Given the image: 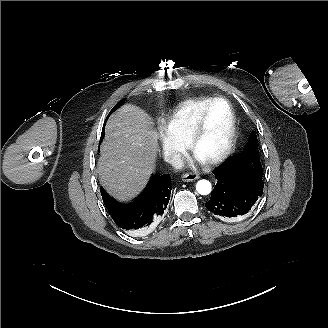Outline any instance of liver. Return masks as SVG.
Masks as SVG:
<instances>
[{"instance_id": "liver-1", "label": "liver", "mask_w": 328, "mask_h": 328, "mask_svg": "<svg viewBox=\"0 0 328 328\" xmlns=\"http://www.w3.org/2000/svg\"><path fill=\"white\" fill-rule=\"evenodd\" d=\"M149 115L126 105L110 118L98 173L102 185L116 198L129 201L153 172L158 135Z\"/></svg>"}]
</instances>
